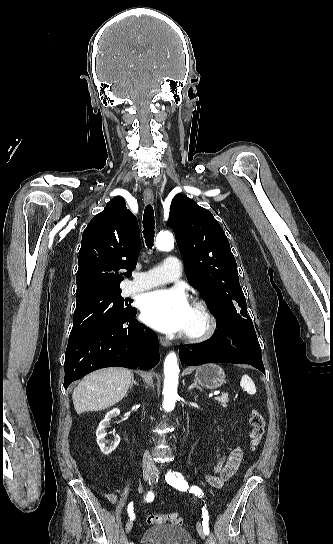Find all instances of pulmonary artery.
Returning <instances> with one entry per match:
<instances>
[{"label": "pulmonary artery", "instance_id": "e3ab8cb5", "mask_svg": "<svg viewBox=\"0 0 333 544\" xmlns=\"http://www.w3.org/2000/svg\"><path fill=\"white\" fill-rule=\"evenodd\" d=\"M182 273V265L178 258L169 256L164 261L146 272L137 273L128 284L129 293H137L153 287L172 282Z\"/></svg>", "mask_w": 333, "mask_h": 544}]
</instances>
